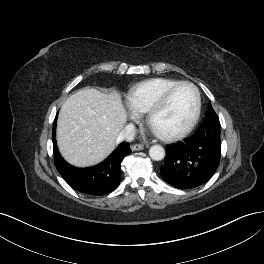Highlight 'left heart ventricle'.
<instances>
[{"instance_id":"left-heart-ventricle-1","label":"left heart ventricle","mask_w":264,"mask_h":264,"mask_svg":"<svg viewBox=\"0 0 264 264\" xmlns=\"http://www.w3.org/2000/svg\"><path fill=\"white\" fill-rule=\"evenodd\" d=\"M196 104V96L192 87L182 85L176 88L165 107L152 120V127L162 133L176 132L190 121Z\"/></svg>"}]
</instances>
